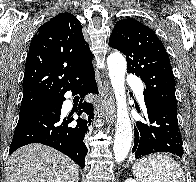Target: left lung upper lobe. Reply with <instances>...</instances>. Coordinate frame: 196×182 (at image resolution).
Wrapping results in <instances>:
<instances>
[{
	"label": "left lung upper lobe",
	"mask_w": 196,
	"mask_h": 182,
	"mask_svg": "<svg viewBox=\"0 0 196 182\" xmlns=\"http://www.w3.org/2000/svg\"><path fill=\"white\" fill-rule=\"evenodd\" d=\"M109 45L125 54L127 72L141 78L144 91L177 113L170 59L155 32L133 18L122 19L115 24Z\"/></svg>",
	"instance_id": "left-lung-upper-lobe-1"
}]
</instances>
